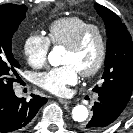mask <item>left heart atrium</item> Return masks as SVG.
I'll return each instance as SVG.
<instances>
[{
    "label": "left heart atrium",
    "mask_w": 133,
    "mask_h": 133,
    "mask_svg": "<svg viewBox=\"0 0 133 133\" xmlns=\"http://www.w3.org/2000/svg\"><path fill=\"white\" fill-rule=\"evenodd\" d=\"M78 73L79 71L74 65L65 64L38 74L36 82L41 88L53 94L64 95L69 86L77 83Z\"/></svg>",
    "instance_id": "left-heart-atrium-1"
}]
</instances>
